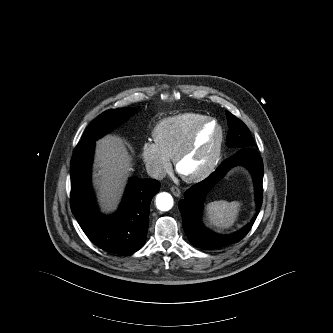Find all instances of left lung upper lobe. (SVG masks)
I'll return each mask as SVG.
<instances>
[{"instance_id": "obj_1", "label": "left lung upper lobe", "mask_w": 333, "mask_h": 333, "mask_svg": "<svg viewBox=\"0 0 333 333\" xmlns=\"http://www.w3.org/2000/svg\"><path fill=\"white\" fill-rule=\"evenodd\" d=\"M226 116L229 126L226 139L227 145L237 149L252 147L254 145V140L248 127L229 111H226Z\"/></svg>"}]
</instances>
